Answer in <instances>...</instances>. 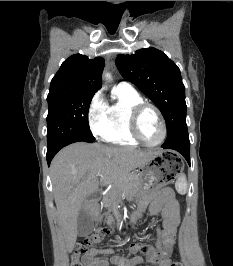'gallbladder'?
Wrapping results in <instances>:
<instances>
[{
  "mask_svg": "<svg viewBox=\"0 0 233 266\" xmlns=\"http://www.w3.org/2000/svg\"><path fill=\"white\" fill-rule=\"evenodd\" d=\"M94 229V218L83 206L77 218V234L80 237H85L91 234Z\"/></svg>",
  "mask_w": 233,
  "mask_h": 266,
  "instance_id": "1",
  "label": "gallbladder"
}]
</instances>
